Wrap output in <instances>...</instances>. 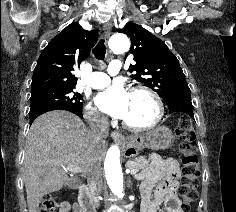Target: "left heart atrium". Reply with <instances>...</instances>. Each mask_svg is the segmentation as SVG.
Segmentation results:
<instances>
[{"label":"left heart atrium","instance_id":"obj_1","mask_svg":"<svg viewBox=\"0 0 236 212\" xmlns=\"http://www.w3.org/2000/svg\"><path fill=\"white\" fill-rule=\"evenodd\" d=\"M96 103L101 111L115 117L124 118L129 104V93L120 84L113 85L96 97Z\"/></svg>","mask_w":236,"mask_h":212}]
</instances>
